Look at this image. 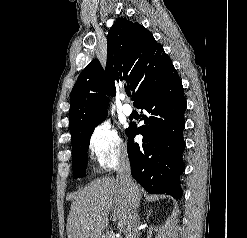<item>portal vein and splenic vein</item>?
I'll use <instances>...</instances> for the list:
<instances>
[{
	"label": "portal vein and splenic vein",
	"mask_w": 247,
	"mask_h": 238,
	"mask_svg": "<svg viewBox=\"0 0 247 238\" xmlns=\"http://www.w3.org/2000/svg\"><path fill=\"white\" fill-rule=\"evenodd\" d=\"M107 238H115V235L113 232L108 233Z\"/></svg>",
	"instance_id": "obj_1"
}]
</instances>
